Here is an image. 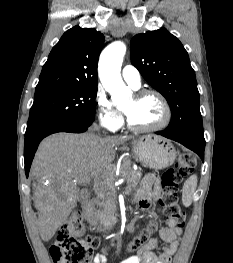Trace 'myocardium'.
Instances as JSON below:
<instances>
[{"label": "myocardium", "mask_w": 233, "mask_h": 263, "mask_svg": "<svg viewBox=\"0 0 233 263\" xmlns=\"http://www.w3.org/2000/svg\"><path fill=\"white\" fill-rule=\"evenodd\" d=\"M147 96H154L156 97L163 109H164V118L163 120L155 125V126H151V127H138V126H135L133 125L129 118L127 117V115L124 113L125 117H126V125L128 127L129 130L133 131V132H136V133H150V132H156V131H160L164 128H166L171 120H172V110H171V107L167 101V99L158 91H155V90H150V89H144V90H140L138 92H136L134 94V97L136 99H142L144 97H147Z\"/></svg>", "instance_id": "obj_1"}]
</instances>
